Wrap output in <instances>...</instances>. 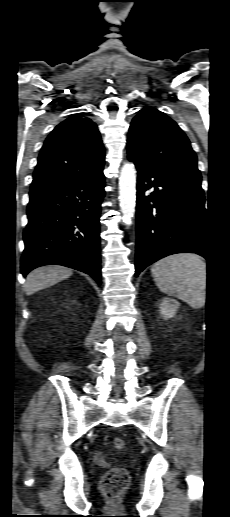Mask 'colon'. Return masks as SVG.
<instances>
[{
	"mask_svg": "<svg viewBox=\"0 0 230 517\" xmlns=\"http://www.w3.org/2000/svg\"><path fill=\"white\" fill-rule=\"evenodd\" d=\"M117 450H123L126 446L125 441L120 437H115L112 441ZM129 482L128 472L120 467L108 471L102 480V490L104 495L110 500H117Z\"/></svg>",
	"mask_w": 230,
	"mask_h": 517,
	"instance_id": "obj_1",
	"label": "colon"
}]
</instances>
